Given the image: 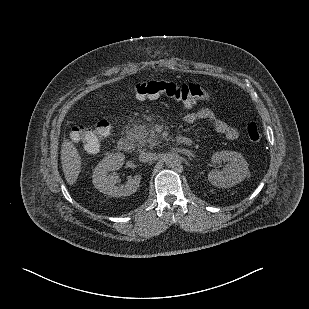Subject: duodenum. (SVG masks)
Returning <instances> with one entry per match:
<instances>
[{"mask_svg": "<svg viewBox=\"0 0 309 309\" xmlns=\"http://www.w3.org/2000/svg\"><path fill=\"white\" fill-rule=\"evenodd\" d=\"M177 142L183 145H191L192 143L191 139L185 136L177 137ZM117 147L122 152H130L132 150V144L127 138H120Z\"/></svg>", "mask_w": 309, "mask_h": 309, "instance_id": "duodenum-1", "label": "duodenum"}]
</instances>
